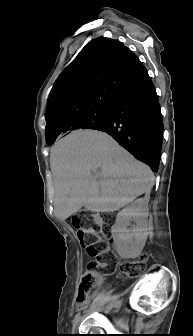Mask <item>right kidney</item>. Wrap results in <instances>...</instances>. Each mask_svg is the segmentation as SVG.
I'll list each match as a JSON object with an SVG mask.
<instances>
[{
  "label": "right kidney",
  "instance_id": "1",
  "mask_svg": "<svg viewBox=\"0 0 193 336\" xmlns=\"http://www.w3.org/2000/svg\"><path fill=\"white\" fill-rule=\"evenodd\" d=\"M148 211V200L139 198L117 214L112 232L120 255L136 257L141 253L148 235ZM131 221L135 224L128 229Z\"/></svg>",
  "mask_w": 193,
  "mask_h": 336
}]
</instances>
